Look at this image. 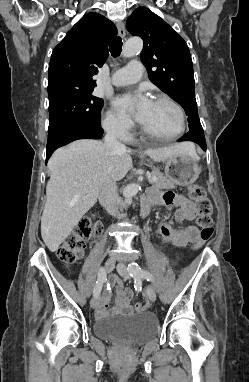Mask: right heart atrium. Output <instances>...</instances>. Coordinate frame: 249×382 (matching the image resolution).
Listing matches in <instances>:
<instances>
[{
	"instance_id": "right-heart-atrium-1",
	"label": "right heart atrium",
	"mask_w": 249,
	"mask_h": 382,
	"mask_svg": "<svg viewBox=\"0 0 249 382\" xmlns=\"http://www.w3.org/2000/svg\"><path fill=\"white\" fill-rule=\"evenodd\" d=\"M103 127L111 135L124 140L130 139L134 130V124L129 118L112 109L107 111Z\"/></svg>"
}]
</instances>
